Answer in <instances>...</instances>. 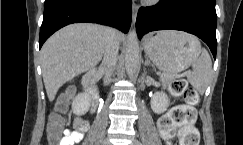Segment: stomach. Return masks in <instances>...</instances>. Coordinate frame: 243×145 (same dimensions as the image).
<instances>
[{
	"label": "stomach",
	"mask_w": 243,
	"mask_h": 145,
	"mask_svg": "<svg viewBox=\"0 0 243 145\" xmlns=\"http://www.w3.org/2000/svg\"><path fill=\"white\" fill-rule=\"evenodd\" d=\"M146 55L165 73H179L187 69L200 54V43L187 33L160 31L144 42Z\"/></svg>",
	"instance_id": "stomach-1"
}]
</instances>
